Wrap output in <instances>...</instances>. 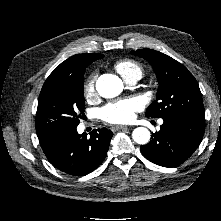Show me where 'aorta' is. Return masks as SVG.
I'll return each instance as SVG.
<instances>
[{
    "label": "aorta",
    "mask_w": 221,
    "mask_h": 221,
    "mask_svg": "<svg viewBox=\"0 0 221 221\" xmlns=\"http://www.w3.org/2000/svg\"><path fill=\"white\" fill-rule=\"evenodd\" d=\"M122 80L112 74L101 75L96 82L98 93L104 98H113L123 91ZM133 140L141 145L147 144L150 140V132L145 127H138L132 132Z\"/></svg>",
    "instance_id": "aorta-1"
}]
</instances>
